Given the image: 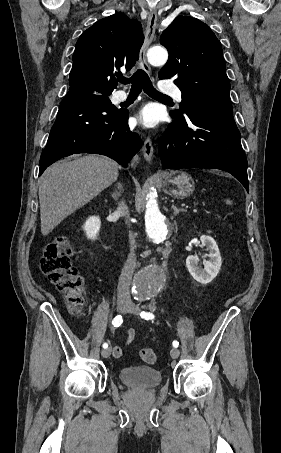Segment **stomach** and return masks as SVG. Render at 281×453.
<instances>
[{
    "label": "stomach",
    "mask_w": 281,
    "mask_h": 453,
    "mask_svg": "<svg viewBox=\"0 0 281 453\" xmlns=\"http://www.w3.org/2000/svg\"><path fill=\"white\" fill-rule=\"evenodd\" d=\"M163 190L170 194V196H175V198H186L192 194L195 184L192 176L187 174V172H164L163 174Z\"/></svg>",
    "instance_id": "stomach-1"
}]
</instances>
